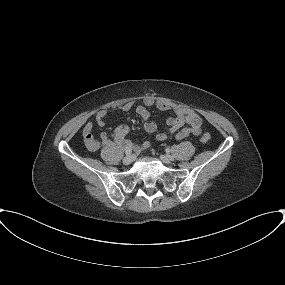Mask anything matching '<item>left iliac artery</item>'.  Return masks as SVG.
<instances>
[{
  "instance_id": "obj_1",
  "label": "left iliac artery",
  "mask_w": 285,
  "mask_h": 285,
  "mask_svg": "<svg viewBox=\"0 0 285 285\" xmlns=\"http://www.w3.org/2000/svg\"><path fill=\"white\" fill-rule=\"evenodd\" d=\"M166 152H167V153H169V152H170V149H169V148H167V149H166Z\"/></svg>"
}]
</instances>
